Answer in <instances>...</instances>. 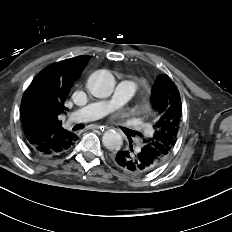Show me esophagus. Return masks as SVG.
I'll use <instances>...</instances> for the list:
<instances>
[{
  "label": "esophagus",
  "instance_id": "obj_1",
  "mask_svg": "<svg viewBox=\"0 0 232 232\" xmlns=\"http://www.w3.org/2000/svg\"><path fill=\"white\" fill-rule=\"evenodd\" d=\"M93 129H99L100 131H104L106 129H108L106 126H101V125H92Z\"/></svg>",
  "mask_w": 232,
  "mask_h": 232
}]
</instances>
